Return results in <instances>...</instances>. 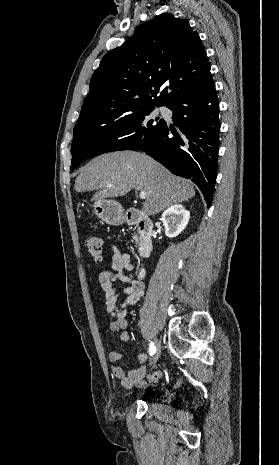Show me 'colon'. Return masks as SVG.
<instances>
[{"label":"colon","mask_w":279,"mask_h":465,"mask_svg":"<svg viewBox=\"0 0 279 465\" xmlns=\"http://www.w3.org/2000/svg\"><path fill=\"white\" fill-rule=\"evenodd\" d=\"M85 245L88 253L96 261H101L103 258V243L101 238L96 234H90L85 239Z\"/></svg>","instance_id":"1"}]
</instances>
